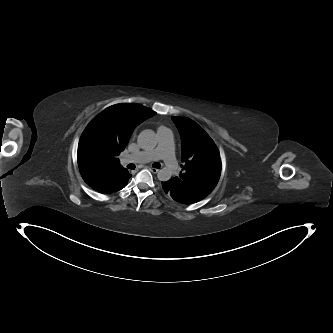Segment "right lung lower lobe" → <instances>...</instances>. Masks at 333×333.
<instances>
[{
    "label": "right lung lower lobe",
    "mask_w": 333,
    "mask_h": 333,
    "mask_svg": "<svg viewBox=\"0 0 333 333\" xmlns=\"http://www.w3.org/2000/svg\"><path fill=\"white\" fill-rule=\"evenodd\" d=\"M84 181L94 190L99 193H112L121 190L125 187L130 179L131 175L129 173L124 174V176L118 179H113L111 177L100 180L96 175L94 170H86L82 174Z\"/></svg>",
    "instance_id": "1"
}]
</instances>
